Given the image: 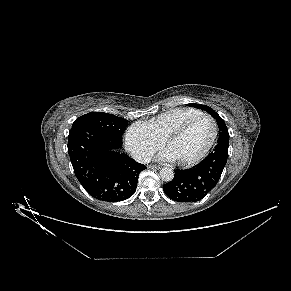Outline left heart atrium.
<instances>
[{
	"label": "left heart atrium",
	"instance_id": "obj_1",
	"mask_svg": "<svg viewBox=\"0 0 291 291\" xmlns=\"http://www.w3.org/2000/svg\"><path fill=\"white\" fill-rule=\"evenodd\" d=\"M158 158H160V159L174 160L173 157H172V155L168 151L161 152L158 155Z\"/></svg>",
	"mask_w": 291,
	"mask_h": 291
}]
</instances>
